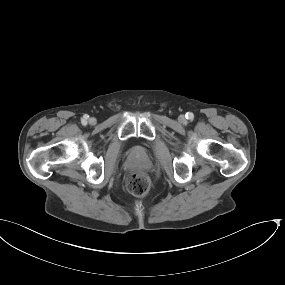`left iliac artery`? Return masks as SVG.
Returning <instances> with one entry per match:
<instances>
[{
	"label": "left iliac artery",
	"instance_id": "44dca946",
	"mask_svg": "<svg viewBox=\"0 0 285 285\" xmlns=\"http://www.w3.org/2000/svg\"><path fill=\"white\" fill-rule=\"evenodd\" d=\"M193 118H194V114L192 112H187L186 113V119L193 120Z\"/></svg>",
	"mask_w": 285,
	"mask_h": 285
}]
</instances>
